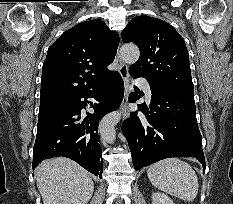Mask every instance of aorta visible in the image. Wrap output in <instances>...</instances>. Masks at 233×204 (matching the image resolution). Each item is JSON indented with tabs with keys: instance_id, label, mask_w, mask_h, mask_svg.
<instances>
[{
	"instance_id": "aorta-1",
	"label": "aorta",
	"mask_w": 233,
	"mask_h": 204,
	"mask_svg": "<svg viewBox=\"0 0 233 204\" xmlns=\"http://www.w3.org/2000/svg\"><path fill=\"white\" fill-rule=\"evenodd\" d=\"M139 49L136 45H123L120 49L122 60L128 64H134L139 59ZM119 112L107 114L100 122L99 131L102 139L107 143H113L116 138L115 126L120 120Z\"/></svg>"
}]
</instances>
